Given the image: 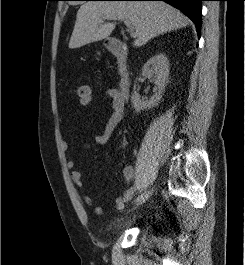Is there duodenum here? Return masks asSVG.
Here are the masks:
<instances>
[{"mask_svg":"<svg viewBox=\"0 0 245 265\" xmlns=\"http://www.w3.org/2000/svg\"><path fill=\"white\" fill-rule=\"evenodd\" d=\"M108 50L117 60L118 91L123 98H127L130 91L131 80L126 45L119 39H111L108 43Z\"/></svg>","mask_w":245,"mask_h":265,"instance_id":"1","label":"duodenum"}]
</instances>
